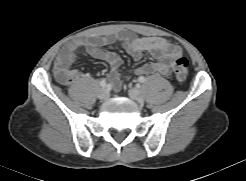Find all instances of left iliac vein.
Instances as JSON below:
<instances>
[{
    "mask_svg": "<svg viewBox=\"0 0 246 181\" xmlns=\"http://www.w3.org/2000/svg\"><path fill=\"white\" fill-rule=\"evenodd\" d=\"M128 95L131 99L137 101L138 103L144 102V94L137 88H130L128 90Z\"/></svg>",
    "mask_w": 246,
    "mask_h": 181,
    "instance_id": "left-iliac-vein-1",
    "label": "left iliac vein"
}]
</instances>
